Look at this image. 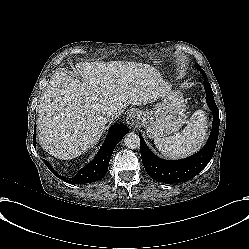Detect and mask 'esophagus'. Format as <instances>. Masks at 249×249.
Listing matches in <instances>:
<instances>
[{
	"mask_svg": "<svg viewBox=\"0 0 249 249\" xmlns=\"http://www.w3.org/2000/svg\"><path fill=\"white\" fill-rule=\"evenodd\" d=\"M138 114L136 113V111H132L130 114H129V117H128V122L129 124L134 125L137 121H138Z\"/></svg>",
	"mask_w": 249,
	"mask_h": 249,
	"instance_id": "1",
	"label": "esophagus"
}]
</instances>
